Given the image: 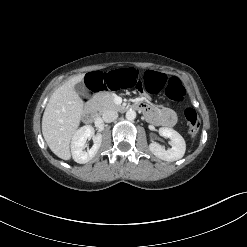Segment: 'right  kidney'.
<instances>
[{
    "label": "right kidney",
    "mask_w": 247,
    "mask_h": 247,
    "mask_svg": "<svg viewBox=\"0 0 247 247\" xmlns=\"http://www.w3.org/2000/svg\"><path fill=\"white\" fill-rule=\"evenodd\" d=\"M93 137V146L85 151L86 141ZM102 142V135L94 136V128L90 125L81 127L71 141V153L75 162L84 164L90 161L98 152Z\"/></svg>",
    "instance_id": "1"
}]
</instances>
